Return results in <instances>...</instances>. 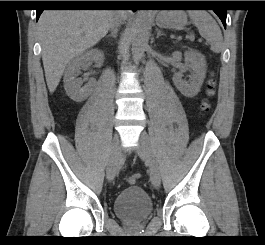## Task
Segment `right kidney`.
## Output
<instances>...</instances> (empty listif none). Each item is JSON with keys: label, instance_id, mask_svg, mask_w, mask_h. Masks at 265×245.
Masks as SVG:
<instances>
[{"label": "right kidney", "instance_id": "1", "mask_svg": "<svg viewBox=\"0 0 265 245\" xmlns=\"http://www.w3.org/2000/svg\"><path fill=\"white\" fill-rule=\"evenodd\" d=\"M104 60V54L98 49H92L81 53L71 60L64 74V88L67 95L76 102L84 101L90 93V87H82V81L77 78L80 69L87 66L91 61L101 63Z\"/></svg>", "mask_w": 265, "mask_h": 245}]
</instances>
